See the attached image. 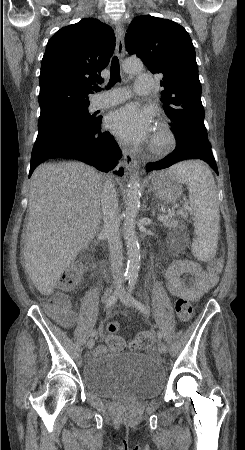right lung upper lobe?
<instances>
[{
    "instance_id": "obj_1",
    "label": "right lung upper lobe",
    "mask_w": 245,
    "mask_h": 450,
    "mask_svg": "<svg viewBox=\"0 0 245 450\" xmlns=\"http://www.w3.org/2000/svg\"><path fill=\"white\" fill-rule=\"evenodd\" d=\"M115 36L111 27L92 18L63 27L48 41L40 72L41 110L89 104L92 85L103 80Z\"/></svg>"
}]
</instances>
